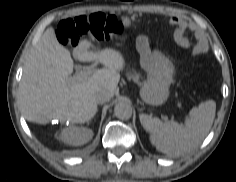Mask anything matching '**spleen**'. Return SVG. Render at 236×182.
I'll use <instances>...</instances> for the list:
<instances>
[{
	"label": "spleen",
	"instance_id": "spleen-1",
	"mask_svg": "<svg viewBox=\"0 0 236 182\" xmlns=\"http://www.w3.org/2000/svg\"><path fill=\"white\" fill-rule=\"evenodd\" d=\"M215 109L216 104L212 100L193 107L184 125L176 121L163 123L159 118L146 114H140L139 118L158 151L181 155L197 147L207 136L215 117Z\"/></svg>",
	"mask_w": 236,
	"mask_h": 182
}]
</instances>
